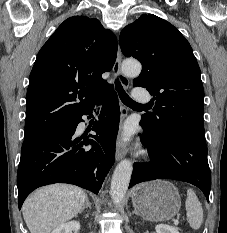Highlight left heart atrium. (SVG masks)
Instances as JSON below:
<instances>
[{"label": "left heart atrium", "mask_w": 227, "mask_h": 233, "mask_svg": "<svg viewBox=\"0 0 227 233\" xmlns=\"http://www.w3.org/2000/svg\"><path fill=\"white\" fill-rule=\"evenodd\" d=\"M130 135H131L130 129L126 127L121 134V140L128 141L130 138Z\"/></svg>", "instance_id": "obj_1"}]
</instances>
